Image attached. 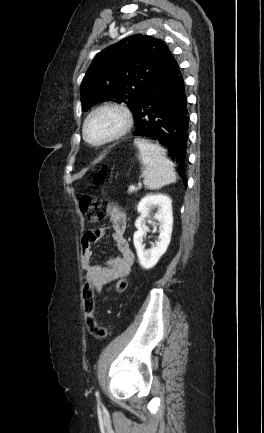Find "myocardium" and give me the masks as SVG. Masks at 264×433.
Returning <instances> with one entry per match:
<instances>
[{"label":"myocardium","mask_w":264,"mask_h":433,"mask_svg":"<svg viewBox=\"0 0 264 433\" xmlns=\"http://www.w3.org/2000/svg\"><path fill=\"white\" fill-rule=\"evenodd\" d=\"M107 111L115 112L120 116L121 118L120 125L114 132L106 135L101 139L93 140L89 138L87 133L88 124L94 117ZM133 121L134 119H133L132 112L124 105L115 102L104 103L94 108L84 119L82 125V137L88 144L92 146H104L113 143L119 140L120 138H122L123 136H125L130 131L133 125Z\"/></svg>","instance_id":"1"}]
</instances>
